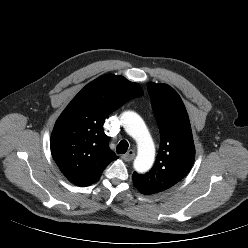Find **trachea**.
I'll return each mask as SVG.
<instances>
[{
	"label": "trachea",
	"mask_w": 248,
	"mask_h": 248,
	"mask_svg": "<svg viewBox=\"0 0 248 248\" xmlns=\"http://www.w3.org/2000/svg\"><path fill=\"white\" fill-rule=\"evenodd\" d=\"M129 147V144L126 140H121L119 144L117 145L116 152L117 154H124L126 153L127 149Z\"/></svg>",
	"instance_id": "3493384b"
}]
</instances>
